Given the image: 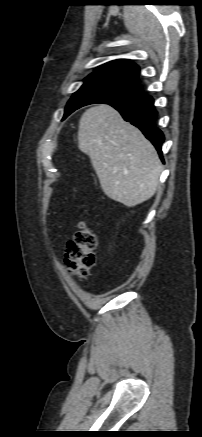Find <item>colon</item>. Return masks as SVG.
I'll return each instance as SVG.
<instances>
[{
	"label": "colon",
	"mask_w": 202,
	"mask_h": 437,
	"mask_svg": "<svg viewBox=\"0 0 202 437\" xmlns=\"http://www.w3.org/2000/svg\"><path fill=\"white\" fill-rule=\"evenodd\" d=\"M97 238L86 222H80L78 230L67 243L65 263L70 273L85 278L96 263Z\"/></svg>",
	"instance_id": "obj_1"
}]
</instances>
